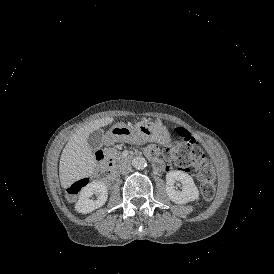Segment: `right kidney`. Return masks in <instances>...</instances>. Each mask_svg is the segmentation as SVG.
I'll return each instance as SVG.
<instances>
[{
  "label": "right kidney",
  "mask_w": 274,
  "mask_h": 274,
  "mask_svg": "<svg viewBox=\"0 0 274 274\" xmlns=\"http://www.w3.org/2000/svg\"><path fill=\"white\" fill-rule=\"evenodd\" d=\"M95 194L96 200H91L90 197ZM108 198L107 187L100 181H93L84 186L80 193L79 199L75 204V210L82 214L90 213L102 207Z\"/></svg>",
  "instance_id": "ca27d5eb"
}]
</instances>
